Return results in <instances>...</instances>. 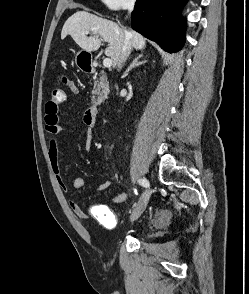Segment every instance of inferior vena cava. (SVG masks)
<instances>
[{
  "instance_id": "obj_1",
  "label": "inferior vena cava",
  "mask_w": 249,
  "mask_h": 294,
  "mask_svg": "<svg viewBox=\"0 0 249 294\" xmlns=\"http://www.w3.org/2000/svg\"><path fill=\"white\" fill-rule=\"evenodd\" d=\"M133 9V4H130L128 6V11L131 12ZM132 49V44L130 39L126 36L121 48L120 55L118 57L117 66L118 69H121L127 58L129 57Z\"/></svg>"
}]
</instances>
